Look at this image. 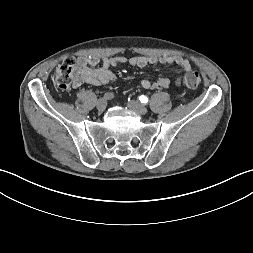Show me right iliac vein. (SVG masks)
<instances>
[{"label":"right iliac vein","mask_w":253,"mask_h":253,"mask_svg":"<svg viewBox=\"0 0 253 253\" xmlns=\"http://www.w3.org/2000/svg\"><path fill=\"white\" fill-rule=\"evenodd\" d=\"M107 101L105 98H100L97 103L96 107L99 112H103L106 109Z\"/></svg>","instance_id":"obj_1"}]
</instances>
